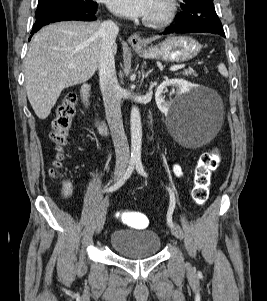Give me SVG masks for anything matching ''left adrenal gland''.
Returning a JSON list of instances; mask_svg holds the SVG:
<instances>
[{
  "instance_id": "obj_1",
  "label": "left adrenal gland",
  "mask_w": 267,
  "mask_h": 301,
  "mask_svg": "<svg viewBox=\"0 0 267 301\" xmlns=\"http://www.w3.org/2000/svg\"><path fill=\"white\" fill-rule=\"evenodd\" d=\"M142 78H147L148 75L152 72V70L147 71L146 73H144V66H142Z\"/></svg>"
}]
</instances>
